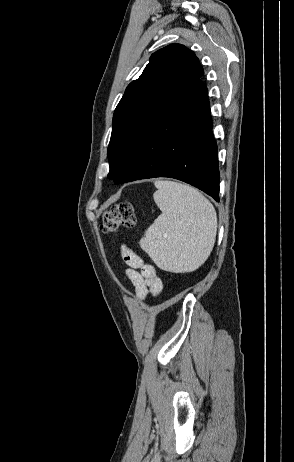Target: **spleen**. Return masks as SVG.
Instances as JSON below:
<instances>
[{"instance_id":"3e777b00","label":"spleen","mask_w":294,"mask_h":462,"mask_svg":"<svg viewBox=\"0 0 294 462\" xmlns=\"http://www.w3.org/2000/svg\"><path fill=\"white\" fill-rule=\"evenodd\" d=\"M153 198L162 214L146 230L140 247L161 269L192 272L209 257L216 238L214 206L198 190L168 180L155 181Z\"/></svg>"}]
</instances>
